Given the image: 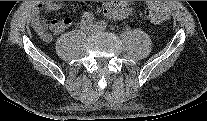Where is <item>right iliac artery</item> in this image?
Listing matches in <instances>:
<instances>
[{"instance_id": "1", "label": "right iliac artery", "mask_w": 207, "mask_h": 121, "mask_svg": "<svg viewBox=\"0 0 207 121\" xmlns=\"http://www.w3.org/2000/svg\"><path fill=\"white\" fill-rule=\"evenodd\" d=\"M83 19H84V21H86V22H90V23H92V22L94 21L95 17H94V15H93L92 13H90V12H85V13L83 14Z\"/></svg>"}]
</instances>
